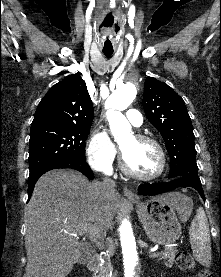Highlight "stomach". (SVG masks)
I'll return each instance as SVG.
<instances>
[{"instance_id": "obj_1", "label": "stomach", "mask_w": 221, "mask_h": 277, "mask_svg": "<svg viewBox=\"0 0 221 277\" xmlns=\"http://www.w3.org/2000/svg\"><path fill=\"white\" fill-rule=\"evenodd\" d=\"M133 203L145 233L153 243L161 245L174 243L180 237L181 223L192 210V202L187 198L181 199L178 206L164 200L163 196Z\"/></svg>"}]
</instances>
